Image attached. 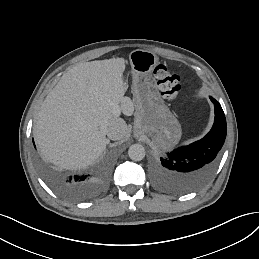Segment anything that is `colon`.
<instances>
[{
	"label": "colon",
	"instance_id": "1",
	"mask_svg": "<svg viewBox=\"0 0 259 259\" xmlns=\"http://www.w3.org/2000/svg\"><path fill=\"white\" fill-rule=\"evenodd\" d=\"M154 75L164 99L174 102L180 96V77L167 67L159 65L154 70Z\"/></svg>",
	"mask_w": 259,
	"mask_h": 259
}]
</instances>
